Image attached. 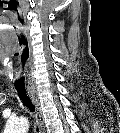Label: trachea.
Wrapping results in <instances>:
<instances>
[{
  "label": "trachea",
  "mask_w": 120,
  "mask_h": 133,
  "mask_svg": "<svg viewBox=\"0 0 120 133\" xmlns=\"http://www.w3.org/2000/svg\"><path fill=\"white\" fill-rule=\"evenodd\" d=\"M19 98L22 100L23 105L29 108L31 111H35L34 104L30 101L27 96V92L25 88H16ZM38 131V128H37Z\"/></svg>",
  "instance_id": "trachea-1"
}]
</instances>
